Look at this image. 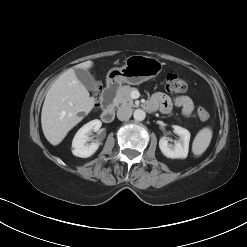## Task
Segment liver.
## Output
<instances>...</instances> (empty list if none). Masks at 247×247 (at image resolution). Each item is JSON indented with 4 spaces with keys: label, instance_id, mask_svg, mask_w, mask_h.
I'll return each mask as SVG.
<instances>
[{
    "label": "liver",
    "instance_id": "1",
    "mask_svg": "<svg viewBox=\"0 0 247 247\" xmlns=\"http://www.w3.org/2000/svg\"><path fill=\"white\" fill-rule=\"evenodd\" d=\"M92 61H85L74 69H89ZM73 68L64 72L48 90L41 113L45 138L58 145L68 132L88 115L95 105L87 88L80 82Z\"/></svg>",
    "mask_w": 247,
    "mask_h": 247
}]
</instances>
